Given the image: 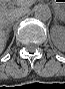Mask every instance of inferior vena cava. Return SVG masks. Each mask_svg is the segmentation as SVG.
Masks as SVG:
<instances>
[{"instance_id":"602c4592","label":"inferior vena cava","mask_w":65,"mask_h":89,"mask_svg":"<svg viewBox=\"0 0 65 89\" xmlns=\"http://www.w3.org/2000/svg\"><path fill=\"white\" fill-rule=\"evenodd\" d=\"M22 16V13L16 14L13 17H11L8 21L7 24H11L14 21L18 20ZM2 23H5V20H1Z\"/></svg>"}]
</instances>
